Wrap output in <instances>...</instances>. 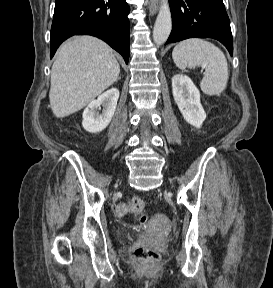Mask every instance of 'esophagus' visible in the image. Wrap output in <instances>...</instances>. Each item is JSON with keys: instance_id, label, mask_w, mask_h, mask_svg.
<instances>
[{"instance_id": "34e87169", "label": "esophagus", "mask_w": 273, "mask_h": 288, "mask_svg": "<svg viewBox=\"0 0 273 288\" xmlns=\"http://www.w3.org/2000/svg\"><path fill=\"white\" fill-rule=\"evenodd\" d=\"M159 7V0H150L149 1V10L151 14H155Z\"/></svg>"}]
</instances>
